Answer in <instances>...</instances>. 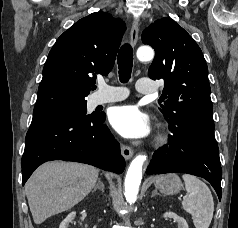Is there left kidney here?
Here are the masks:
<instances>
[{
	"instance_id": "left-kidney-1",
	"label": "left kidney",
	"mask_w": 238,
	"mask_h": 228,
	"mask_svg": "<svg viewBox=\"0 0 238 228\" xmlns=\"http://www.w3.org/2000/svg\"><path fill=\"white\" fill-rule=\"evenodd\" d=\"M164 218H172L177 223L178 228H189L186 220L183 217L178 216L173 212H166L163 215Z\"/></svg>"
}]
</instances>
